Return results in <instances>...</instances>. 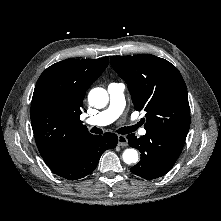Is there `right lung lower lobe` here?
I'll list each match as a JSON object with an SVG mask.
<instances>
[{"instance_id":"right-lung-lower-lobe-1","label":"right lung lower lobe","mask_w":221,"mask_h":221,"mask_svg":"<svg viewBox=\"0 0 221 221\" xmlns=\"http://www.w3.org/2000/svg\"><path fill=\"white\" fill-rule=\"evenodd\" d=\"M117 143L118 137L114 133H105L103 136L91 134L78 141L60 158L46 164L62 178L80 179L93 172L101 154L116 147Z\"/></svg>"}]
</instances>
